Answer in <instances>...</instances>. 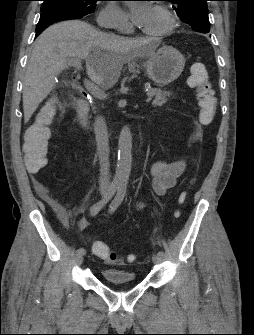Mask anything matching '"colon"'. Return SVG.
<instances>
[{"instance_id":"obj_1","label":"colon","mask_w":254,"mask_h":335,"mask_svg":"<svg viewBox=\"0 0 254 335\" xmlns=\"http://www.w3.org/2000/svg\"><path fill=\"white\" fill-rule=\"evenodd\" d=\"M189 84L197 91L200 120L203 124L208 125L213 121L217 109V99L209 81V74L203 64L195 63L192 65ZM54 115L55 106L53 103H48L42 108L36 121L29 126L26 133V141H24V172L46 171V158H48L47 139ZM181 200H185V194H182ZM93 250L96 255L109 263L117 259L116 254L104 243L95 242ZM128 259L129 261H133L134 256L130 255Z\"/></svg>"}]
</instances>
